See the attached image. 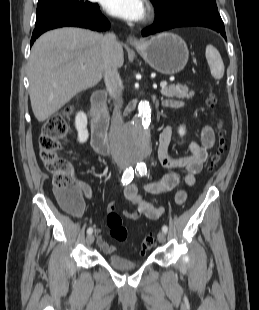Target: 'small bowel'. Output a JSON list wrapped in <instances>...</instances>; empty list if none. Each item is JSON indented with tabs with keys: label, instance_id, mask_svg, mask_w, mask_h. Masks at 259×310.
<instances>
[{
	"label": "small bowel",
	"instance_id": "1",
	"mask_svg": "<svg viewBox=\"0 0 259 310\" xmlns=\"http://www.w3.org/2000/svg\"><path fill=\"white\" fill-rule=\"evenodd\" d=\"M168 107L178 108L183 104L179 101L169 100L165 102ZM172 139V129L165 128L159 137L158 158L162 166L169 172L162 178L148 182L144 185V189L149 194H162L176 189L180 182L183 181L187 186H193L196 182V175L202 170L203 164L207 158L208 149L215 144V133L211 126L205 125L201 130L200 143L190 141L188 144L189 155L182 157H174L168 153V147ZM82 190L86 197L91 196V190L88 185L82 184ZM124 196L129 202L132 210H125L124 215L129 220H138L146 217L150 220L158 219L164 208L162 205H155L148 196L139 193L134 183H128L124 187ZM187 199V194L183 189H179L175 193L174 200L176 204L182 205ZM116 205L110 202L107 210L115 211ZM96 244L106 254H113L116 247L107 242L103 237L99 228L95 229Z\"/></svg>",
	"mask_w": 259,
	"mask_h": 310
}]
</instances>
